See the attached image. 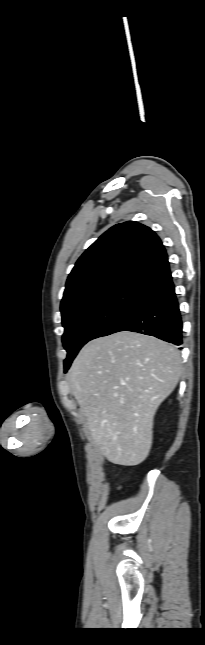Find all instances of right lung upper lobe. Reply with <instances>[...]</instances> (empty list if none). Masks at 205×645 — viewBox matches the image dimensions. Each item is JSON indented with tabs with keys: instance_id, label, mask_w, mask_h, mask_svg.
Returning a JSON list of instances; mask_svg holds the SVG:
<instances>
[{
	"instance_id": "obj_1",
	"label": "right lung upper lobe",
	"mask_w": 205,
	"mask_h": 645,
	"mask_svg": "<svg viewBox=\"0 0 205 645\" xmlns=\"http://www.w3.org/2000/svg\"><path fill=\"white\" fill-rule=\"evenodd\" d=\"M169 271L166 250L154 231L133 221L117 224L78 259L68 276L61 309L121 285L146 287Z\"/></svg>"
}]
</instances>
